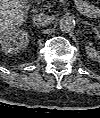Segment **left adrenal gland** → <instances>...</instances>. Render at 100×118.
<instances>
[{"label":"left adrenal gland","mask_w":100,"mask_h":118,"mask_svg":"<svg viewBox=\"0 0 100 118\" xmlns=\"http://www.w3.org/2000/svg\"><path fill=\"white\" fill-rule=\"evenodd\" d=\"M83 24H88V22L87 21H84Z\"/></svg>","instance_id":"a2214340"}]
</instances>
